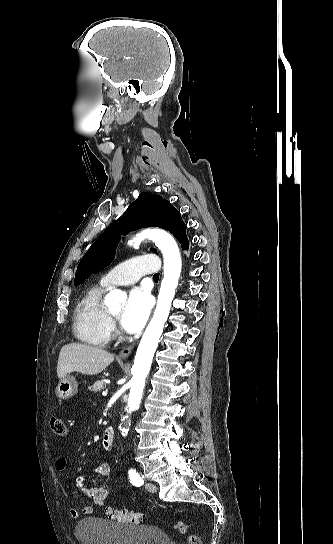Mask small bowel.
Here are the masks:
<instances>
[{
  "instance_id": "small-bowel-1",
  "label": "small bowel",
  "mask_w": 333,
  "mask_h": 544,
  "mask_svg": "<svg viewBox=\"0 0 333 544\" xmlns=\"http://www.w3.org/2000/svg\"><path fill=\"white\" fill-rule=\"evenodd\" d=\"M56 468L59 471H64L67 468V460L63 457L58 458ZM110 473L111 465L108 462L100 463L92 471V474L100 477H107ZM73 485L77 491L85 496V504L82 507L71 508L70 512L73 518L93 513L95 506H103L105 501L112 497V488L107 482L99 486H85L82 479H76Z\"/></svg>"
}]
</instances>
